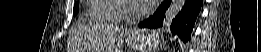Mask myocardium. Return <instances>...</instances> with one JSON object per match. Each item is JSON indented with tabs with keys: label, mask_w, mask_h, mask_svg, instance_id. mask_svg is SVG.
Wrapping results in <instances>:
<instances>
[{
	"label": "myocardium",
	"mask_w": 261,
	"mask_h": 52,
	"mask_svg": "<svg viewBox=\"0 0 261 52\" xmlns=\"http://www.w3.org/2000/svg\"><path fill=\"white\" fill-rule=\"evenodd\" d=\"M121 12L127 19H131L137 15L145 13L146 9L139 8L133 1H121L120 2Z\"/></svg>",
	"instance_id": "myocardium-1"
}]
</instances>
